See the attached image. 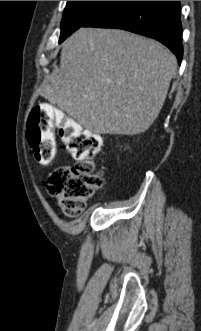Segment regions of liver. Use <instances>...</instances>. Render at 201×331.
<instances>
[{
	"mask_svg": "<svg viewBox=\"0 0 201 331\" xmlns=\"http://www.w3.org/2000/svg\"><path fill=\"white\" fill-rule=\"evenodd\" d=\"M177 69L156 40L80 28L65 40L45 98L97 134L137 135L155 121Z\"/></svg>",
	"mask_w": 201,
	"mask_h": 331,
	"instance_id": "liver-1",
	"label": "liver"
}]
</instances>
